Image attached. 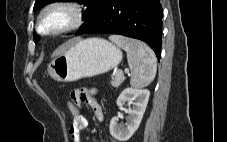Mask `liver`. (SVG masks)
I'll use <instances>...</instances> for the list:
<instances>
[{"label":"liver","instance_id":"1","mask_svg":"<svg viewBox=\"0 0 227 142\" xmlns=\"http://www.w3.org/2000/svg\"><path fill=\"white\" fill-rule=\"evenodd\" d=\"M79 39L78 38H74L71 40H68L67 42H65L64 44H62L61 46H59L52 54V57H57L60 54H62L71 44H73L74 42H77Z\"/></svg>","mask_w":227,"mask_h":142}]
</instances>
